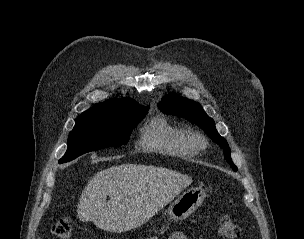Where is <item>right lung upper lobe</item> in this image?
<instances>
[{"label": "right lung upper lobe", "instance_id": "1", "mask_svg": "<svg viewBox=\"0 0 304 239\" xmlns=\"http://www.w3.org/2000/svg\"><path fill=\"white\" fill-rule=\"evenodd\" d=\"M130 108H146L141 106L136 101L123 98V99H113L108 100L103 103L95 104L91 109L83 112L81 116L87 115H116L123 113Z\"/></svg>", "mask_w": 304, "mask_h": 239}]
</instances>
